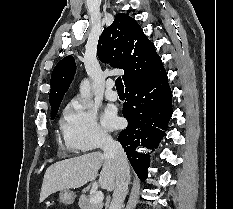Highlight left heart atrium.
<instances>
[{
	"label": "left heart atrium",
	"instance_id": "obj_1",
	"mask_svg": "<svg viewBox=\"0 0 233 209\" xmlns=\"http://www.w3.org/2000/svg\"><path fill=\"white\" fill-rule=\"evenodd\" d=\"M103 122L109 128H114L118 125L119 120L113 109L108 108L105 110L103 114Z\"/></svg>",
	"mask_w": 233,
	"mask_h": 209
}]
</instances>
